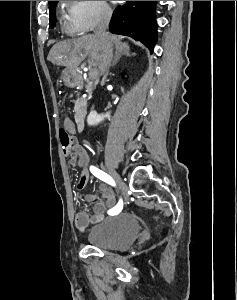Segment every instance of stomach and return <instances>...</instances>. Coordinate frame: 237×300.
Here are the masks:
<instances>
[{
	"mask_svg": "<svg viewBox=\"0 0 237 300\" xmlns=\"http://www.w3.org/2000/svg\"><path fill=\"white\" fill-rule=\"evenodd\" d=\"M62 73L63 81H65L66 85H72V87H76L79 75H77L75 71H71V69H64Z\"/></svg>",
	"mask_w": 237,
	"mask_h": 300,
	"instance_id": "1",
	"label": "stomach"
}]
</instances>
